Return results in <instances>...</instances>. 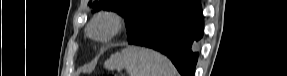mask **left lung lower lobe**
Masks as SVG:
<instances>
[{
	"mask_svg": "<svg viewBox=\"0 0 287 76\" xmlns=\"http://www.w3.org/2000/svg\"><path fill=\"white\" fill-rule=\"evenodd\" d=\"M204 20L199 0H185L157 18L128 44L152 48L166 55L181 76H193L198 60L197 42L203 36Z\"/></svg>",
	"mask_w": 287,
	"mask_h": 76,
	"instance_id": "1",
	"label": "left lung lower lobe"
}]
</instances>
